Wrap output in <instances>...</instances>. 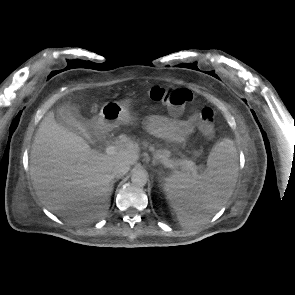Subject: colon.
Instances as JSON below:
<instances>
[{"mask_svg":"<svg viewBox=\"0 0 295 295\" xmlns=\"http://www.w3.org/2000/svg\"><path fill=\"white\" fill-rule=\"evenodd\" d=\"M146 97L165 105L171 112L178 114L184 106L192 101L190 90L184 88H166L153 86L146 90ZM215 115L212 109L204 108L199 116V130L202 134L210 136L214 133Z\"/></svg>","mask_w":295,"mask_h":295,"instance_id":"1","label":"colon"}]
</instances>
